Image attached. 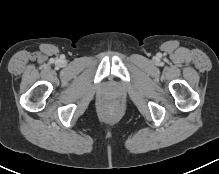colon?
<instances>
[{"instance_id":"colon-1","label":"colon","mask_w":219,"mask_h":174,"mask_svg":"<svg viewBox=\"0 0 219 174\" xmlns=\"http://www.w3.org/2000/svg\"><path fill=\"white\" fill-rule=\"evenodd\" d=\"M116 110L115 104H108L104 107V111L106 114L111 115Z\"/></svg>"}]
</instances>
